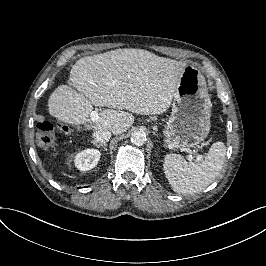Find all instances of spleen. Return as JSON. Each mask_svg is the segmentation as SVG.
I'll return each mask as SVG.
<instances>
[{
	"label": "spleen",
	"instance_id": "3e777b00",
	"mask_svg": "<svg viewBox=\"0 0 266 266\" xmlns=\"http://www.w3.org/2000/svg\"><path fill=\"white\" fill-rule=\"evenodd\" d=\"M226 146L216 141L201 163L187 162L180 154L169 153L163 159V173L169 187L178 194H197L205 190L221 173Z\"/></svg>",
	"mask_w": 266,
	"mask_h": 266
}]
</instances>
